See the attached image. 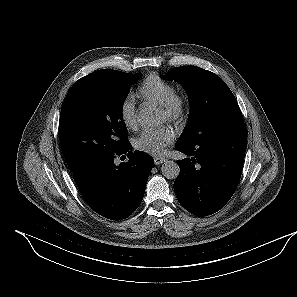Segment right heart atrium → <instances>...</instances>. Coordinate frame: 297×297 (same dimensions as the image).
I'll return each instance as SVG.
<instances>
[{
	"mask_svg": "<svg viewBox=\"0 0 297 297\" xmlns=\"http://www.w3.org/2000/svg\"><path fill=\"white\" fill-rule=\"evenodd\" d=\"M119 117L122 124L128 129L137 126V109L131 96H125L119 104Z\"/></svg>",
	"mask_w": 297,
	"mask_h": 297,
	"instance_id": "right-heart-atrium-1",
	"label": "right heart atrium"
}]
</instances>
